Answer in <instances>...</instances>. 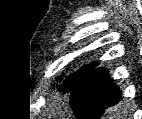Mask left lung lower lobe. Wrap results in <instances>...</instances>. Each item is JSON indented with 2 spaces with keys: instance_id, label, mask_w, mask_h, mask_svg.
Segmentation results:
<instances>
[{
  "instance_id": "0a47b994",
  "label": "left lung lower lobe",
  "mask_w": 142,
  "mask_h": 119,
  "mask_svg": "<svg viewBox=\"0 0 142 119\" xmlns=\"http://www.w3.org/2000/svg\"><path fill=\"white\" fill-rule=\"evenodd\" d=\"M96 67L71 92L70 106L77 119H99L108 107L116 105L122 98L107 69Z\"/></svg>"
}]
</instances>
